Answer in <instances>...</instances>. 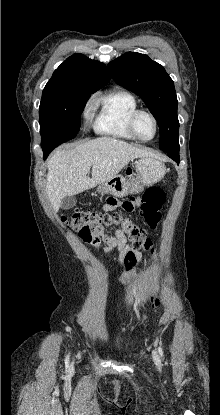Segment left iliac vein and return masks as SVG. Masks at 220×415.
Returning <instances> with one entry per match:
<instances>
[{"mask_svg":"<svg viewBox=\"0 0 220 415\" xmlns=\"http://www.w3.org/2000/svg\"><path fill=\"white\" fill-rule=\"evenodd\" d=\"M153 361L157 366L161 365L160 356L157 351H153Z\"/></svg>","mask_w":220,"mask_h":415,"instance_id":"1","label":"left iliac vein"}]
</instances>
